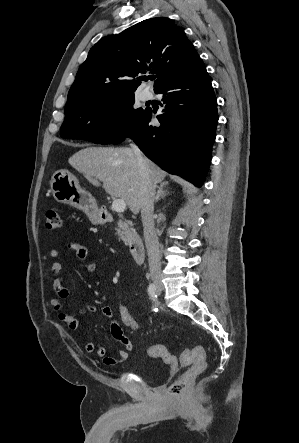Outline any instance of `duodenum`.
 Segmentation results:
<instances>
[{
  "label": "duodenum",
  "mask_w": 299,
  "mask_h": 443,
  "mask_svg": "<svg viewBox=\"0 0 299 443\" xmlns=\"http://www.w3.org/2000/svg\"><path fill=\"white\" fill-rule=\"evenodd\" d=\"M100 218L104 222L112 220V215L106 209H102L99 214ZM129 253L133 260L136 262H142L144 259V245L140 238H134L128 243Z\"/></svg>",
  "instance_id": "duodenum-1"
}]
</instances>
